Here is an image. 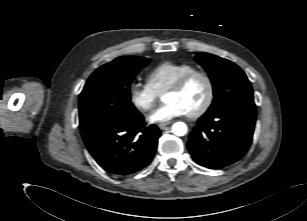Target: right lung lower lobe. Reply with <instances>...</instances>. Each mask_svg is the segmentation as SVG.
I'll use <instances>...</instances> for the list:
<instances>
[{
  "mask_svg": "<svg viewBox=\"0 0 307 221\" xmlns=\"http://www.w3.org/2000/svg\"><path fill=\"white\" fill-rule=\"evenodd\" d=\"M160 130L145 127L140 112L124 120L100 123L82 134L96 162L107 172L127 176L146 167L153 159Z\"/></svg>",
  "mask_w": 307,
  "mask_h": 221,
  "instance_id": "1",
  "label": "right lung lower lobe"
}]
</instances>
